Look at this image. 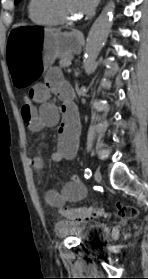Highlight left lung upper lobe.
<instances>
[{
    "label": "left lung upper lobe",
    "instance_id": "obj_1",
    "mask_svg": "<svg viewBox=\"0 0 148 279\" xmlns=\"http://www.w3.org/2000/svg\"><path fill=\"white\" fill-rule=\"evenodd\" d=\"M21 0H15V4H18Z\"/></svg>",
    "mask_w": 148,
    "mask_h": 279
}]
</instances>
